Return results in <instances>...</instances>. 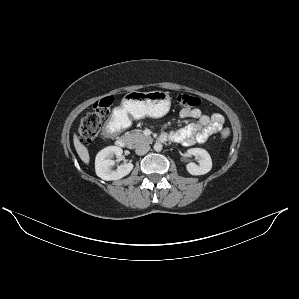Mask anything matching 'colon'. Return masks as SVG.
<instances>
[{"instance_id": "5ec220e1", "label": "colon", "mask_w": 299, "mask_h": 299, "mask_svg": "<svg viewBox=\"0 0 299 299\" xmlns=\"http://www.w3.org/2000/svg\"><path fill=\"white\" fill-rule=\"evenodd\" d=\"M177 104L185 109H191L199 106L200 100L197 97L187 93H180L176 97ZM113 98L108 96L94 103L92 111L87 113L80 121L78 133L81 140L85 143H91L99 134L102 119L109 115ZM222 138H228L230 129L225 127L221 130Z\"/></svg>"}]
</instances>
